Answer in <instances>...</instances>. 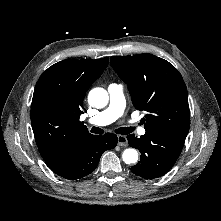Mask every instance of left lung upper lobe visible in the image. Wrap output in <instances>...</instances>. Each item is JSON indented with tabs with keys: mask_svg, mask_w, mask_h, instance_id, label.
Instances as JSON below:
<instances>
[{
	"mask_svg": "<svg viewBox=\"0 0 221 221\" xmlns=\"http://www.w3.org/2000/svg\"><path fill=\"white\" fill-rule=\"evenodd\" d=\"M110 64L128 85L136 109L146 111L145 130L186 138L190 113L186 85L178 70L152 54L111 57Z\"/></svg>",
	"mask_w": 221,
	"mask_h": 221,
	"instance_id": "1",
	"label": "left lung upper lobe"
}]
</instances>
